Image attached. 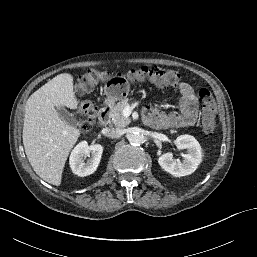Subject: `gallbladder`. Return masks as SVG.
<instances>
[{
  "label": "gallbladder",
  "mask_w": 257,
  "mask_h": 257,
  "mask_svg": "<svg viewBox=\"0 0 257 257\" xmlns=\"http://www.w3.org/2000/svg\"><path fill=\"white\" fill-rule=\"evenodd\" d=\"M57 113L59 114L60 118L62 120H64L65 122H67L70 125H76L77 120L75 119V117L69 113L65 108L63 107H58L56 108Z\"/></svg>",
  "instance_id": "obj_1"
}]
</instances>
